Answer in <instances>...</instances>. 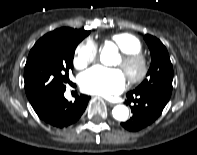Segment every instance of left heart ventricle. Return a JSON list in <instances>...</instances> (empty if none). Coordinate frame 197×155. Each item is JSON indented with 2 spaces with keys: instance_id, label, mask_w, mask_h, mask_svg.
<instances>
[{
  "instance_id": "1",
  "label": "left heart ventricle",
  "mask_w": 197,
  "mask_h": 155,
  "mask_svg": "<svg viewBox=\"0 0 197 155\" xmlns=\"http://www.w3.org/2000/svg\"><path fill=\"white\" fill-rule=\"evenodd\" d=\"M115 65L120 67V68H122V59H121V57H119V59L117 60ZM130 70H131V72H133L135 70V68H131Z\"/></svg>"
}]
</instances>
